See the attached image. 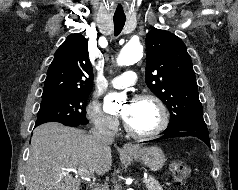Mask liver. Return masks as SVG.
<instances>
[{
  "mask_svg": "<svg viewBox=\"0 0 238 190\" xmlns=\"http://www.w3.org/2000/svg\"><path fill=\"white\" fill-rule=\"evenodd\" d=\"M112 165L110 147L100 148L93 135L50 122L31 139L26 190H80L79 177L103 175ZM76 170L75 178L68 170Z\"/></svg>",
  "mask_w": 238,
  "mask_h": 190,
  "instance_id": "6515ba94",
  "label": "liver"
}]
</instances>
